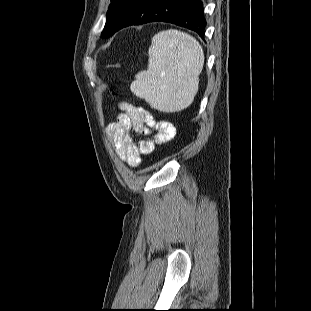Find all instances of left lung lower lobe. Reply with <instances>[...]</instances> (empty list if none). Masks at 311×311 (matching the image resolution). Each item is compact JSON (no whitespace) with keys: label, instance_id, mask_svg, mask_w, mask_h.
Masks as SVG:
<instances>
[{"label":"left lung lower lobe","instance_id":"1","mask_svg":"<svg viewBox=\"0 0 311 311\" xmlns=\"http://www.w3.org/2000/svg\"><path fill=\"white\" fill-rule=\"evenodd\" d=\"M156 21L188 28L204 38L206 21L201 0H128L118 15L111 35L130 25Z\"/></svg>","mask_w":311,"mask_h":311}]
</instances>
